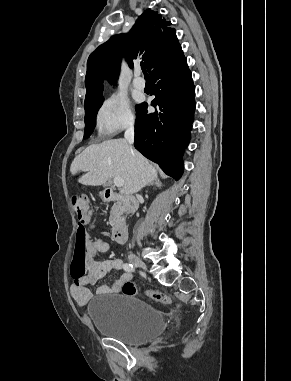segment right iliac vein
I'll return each instance as SVG.
<instances>
[{
	"mask_svg": "<svg viewBox=\"0 0 291 381\" xmlns=\"http://www.w3.org/2000/svg\"><path fill=\"white\" fill-rule=\"evenodd\" d=\"M129 260L130 262L135 266V267H139L143 270H146L147 267H146V264L139 258L137 257L136 255H130L129 256Z\"/></svg>",
	"mask_w": 291,
	"mask_h": 381,
	"instance_id": "obj_1",
	"label": "right iliac vein"
}]
</instances>
